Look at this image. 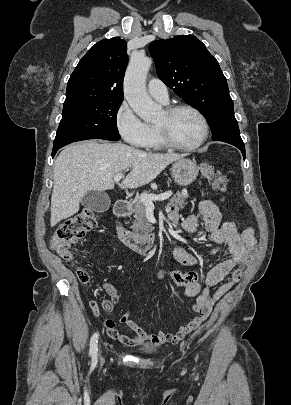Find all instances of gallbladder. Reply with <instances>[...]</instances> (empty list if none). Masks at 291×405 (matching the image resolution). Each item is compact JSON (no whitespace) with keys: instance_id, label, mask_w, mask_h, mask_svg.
Here are the masks:
<instances>
[{"instance_id":"bac80fb5","label":"gallbladder","mask_w":291,"mask_h":405,"mask_svg":"<svg viewBox=\"0 0 291 405\" xmlns=\"http://www.w3.org/2000/svg\"><path fill=\"white\" fill-rule=\"evenodd\" d=\"M81 204L90 211L102 213L109 209L111 201L105 192L88 191L83 196Z\"/></svg>"}]
</instances>
